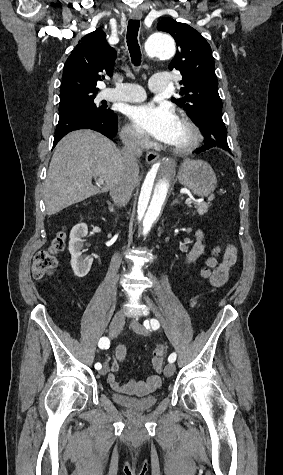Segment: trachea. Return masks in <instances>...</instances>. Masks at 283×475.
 Instances as JSON below:
<instances>
[{"label":"trachea","instance_id":"1","mask_svg":"<svg viewBox=\"0 0 283 475\" xmlns=\"http://www.w3.org/2000/svg\"><path fill=\"white\" fill-rule=\"evenodd\" d=\"M139 27V20H129L126 39L131 61L135 67H138L141 63V51L137 39Z\"/></svg>","mask_w":283,"mask_h":475}]
</instances>
